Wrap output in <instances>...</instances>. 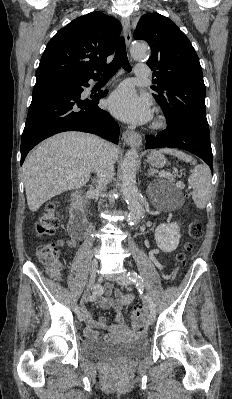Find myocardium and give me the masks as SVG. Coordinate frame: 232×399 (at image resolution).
<instances>
[{"label": "myocardium", "mask_w": 232, "mask_h": 399, "mask_svg": "<svg viewBox=\"0 0 232 399\" xmlns=\"http://www.w3.org/2000/svg\"><path fill=\"white\" fill-rule=\"evenodd\" d=\"M167 126V119L161 110H157L156 117L149 126L150 130L159 131Z\"/></svg>", "instance_id": "myocardium-1"}]
</instances>
